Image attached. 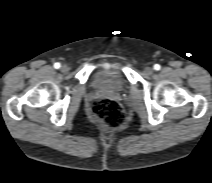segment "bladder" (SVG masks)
Listing matches in <instances>:
<instances>
[{
  "label": "bladder",
  "mask_w": 212,
  "mask_h": 183,
  "mask_svg": "<svg viewBox=\"0 0 212 183\" xmlns=\"http://www.w3.org/2000/svg\"><path fill=\"white\" fill-rule=\"evenodd\" d=\"M95 88L102 91L122 92L127 88V79L118 66L99 69L93 80Z\"/></svg>",
  "instance_id": "31cf9c89"
}]
</instances>
